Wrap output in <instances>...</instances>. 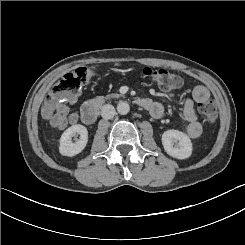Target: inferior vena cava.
<instances>
[{"label": "inferior vena cava", "mask_w": 245, "mask_h": 245, "mask_svg": "<svg viewBox=\"0 0 245 245\" xmlns=\"http://www.w3.org/2000/svg\"><path fill=\"white\" fill-rule=\"evenodd\" d=\"M115 115V108L110 104H105L101 108V116L104 119H111Z\"/></svg>", "instance_id": "1"}]
</instances>
